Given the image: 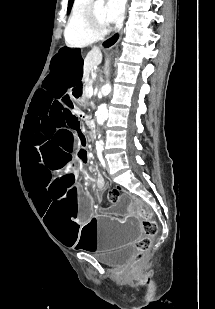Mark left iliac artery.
Instances as JSON below:
<instances>
[{
    "mask_svg": "<svg viewBox=\"0 0 215 309\" xmlns=\"http://www.w3.org/2000/svg\"><path fill=\"white\" fill-rule=\"evenodd\" d=\"M98 158H99L101 164L103 165V167H105V160H104L102 154H98Z\"/></svg>",
    "mask_w": 215,
    "mask_h": 309,
    "instance_id": "1",
    "label": "left iliac artery"
}]
</instances>
